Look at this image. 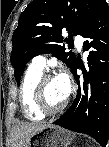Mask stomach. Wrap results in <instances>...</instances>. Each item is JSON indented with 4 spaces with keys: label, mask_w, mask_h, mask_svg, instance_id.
I'll return each instance as SVG.
<instances>
[{
    "label": "stomach",
    "mask_w": 109,
    "mask_h": 147,
    "mask_svg": "<svg viewBox=\"0 0 109 147\" xmlns=\"http://www.w3.org/2000/svg\"><path fill=\"white\" fill-rule=\"evenodd\" d=\"M75 134L59 126L49 124L30 138L28 147H69Z\"/></svg>",
    "instance_id": "obj_1"
}]
</instances>
